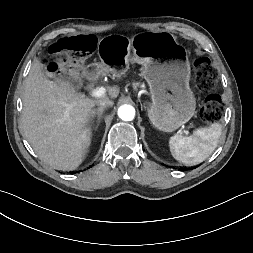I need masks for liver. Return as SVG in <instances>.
Wrapping results in <instances>:
<instances>
[{
    "label": "liver",
    "mask_w": 253,
    "mask_h": 253,
    "mask_svg": "<svg viewBox=\"0 0 253 253\" xmlns=\"http://www.w3.org/2000/svg\"><path fill=\"white\" fill-rule=\"evenodd\" d=\"M120 76L113 74L114 78ZM49 77L39 61L33 63L23 94L22 129L42 162L57 170L70 171L85 159L90 145L88 124L99 99L76 93L70 83L52 81ZM108 94L116 98L119 89H109Z\"/></svg>",
    "instance_id": "liver-1"
}]
</instances>
